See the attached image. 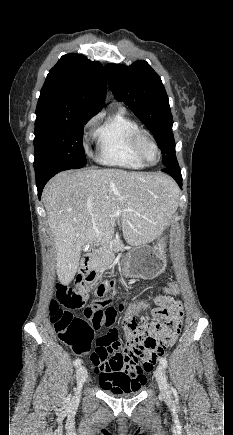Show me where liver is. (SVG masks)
<instances>
[{
  "label": "liver",
  "mask_w": 233,
  "mask_h": 435,
  "mask_svg": "<svg viewBox=\"0 0 233 435\" xmlns=\"http://www.w3.org/2000/svg\"><path fill=\"white\" fill-rule=\"evenodd\" d=\"M179 196L177 184L161 173L88 169L54 176L42 200L54 237L59 281L73 280L83 247L110 240L119 218L128 244L142 246L158 238Z\"/></svg>",
  "instance_id": "obj_1"
}]
</instances>
